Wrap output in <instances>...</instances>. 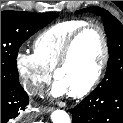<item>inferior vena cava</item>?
Returning a JSON list of instances; mask_svg holds the SVG:
<instances>
[{
    "instance_id": "inferior-vena-cava-1",
    "label": "inferior vena cava",
    "mask_w": 123,
    "mask_h": 123,
    "mask_svg": "<svg viewBox=\"0 0 123 123\" xmlns=\"http://www.w3.org/2000/svg\"><path fill=\"white\" fill-rule=\"evenodd\" d=\"M26 90L30 95H37L43 92V88L41 86H34V85H29L26 88Z\"/></svg>"
}]
</instances>
